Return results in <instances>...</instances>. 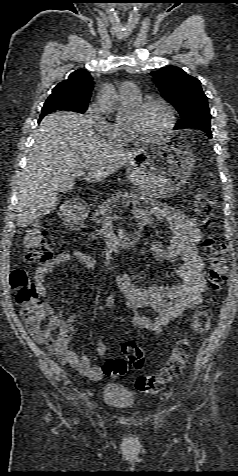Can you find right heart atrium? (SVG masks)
<instances>
[{
    "mask_svg": "<svg viewBox=\"0 0 238 476\" xmlns=\"http://www.w3.org/2000/svg\"><path fill=\"white\" fill-rule=\"evenodd\" d=\"M86 115L89 122L99 134L111 140L119 138V131L105 120L98 104L94 103L90 105L86 111Z\"/></svg>",
    "mask_w": 238,
    "mask_h": 476,
    "instance_id": "right-heart-atrium-1",
    "label": "right heart atrium"
}]
</instances>
